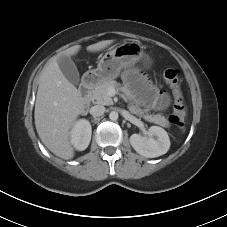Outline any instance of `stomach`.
Instances as JSON below:
<instances>
[{
	"instance_id": "stomach-1",
	"label": "stomach",
	"mask_w": 227,
	"mask_h": 227,
	"mask_svg": "<svg viewBox=\"0 0 227 227\" xmlns=\"http://www.w3.org/2000/svg\"><path fill=\"white\" fill-rule=\"evenodd\" d=\"M140 60L145 67L151 64L148 55L138 43L125 42L106 52L99 60L97 68L87 71L85 76L90 83L100 84L117 78L123 68L132 66Z\"/></svg>"
}]
</instances>
